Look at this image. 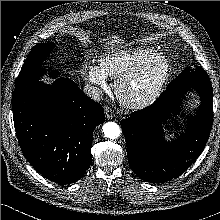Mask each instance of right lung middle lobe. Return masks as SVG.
<instances>
[{
  "mask_svg": "<svg viewBox=\"0 0 220 220\" xmlns=\"http://www.w3.org/2000/svg\"><path fill=\"white\" fill-rule=\"evenodd\" d=\"M54 46L53 43H39L32 48L16 79V88L29 86L39 81V78L44 72V69L41 66L42 60L47 57L48 52L54 48ZM56 74L55 71L51 72L53 78L57 77Z\"/></svg>",
  "mask_w": 220,
  "mask_h": 220,
  "instance_id": "right-lung-middle-lobe-1",
  "label": "right lung middle lobe"
}]
</instances>
